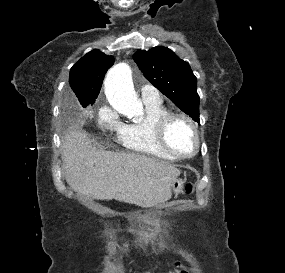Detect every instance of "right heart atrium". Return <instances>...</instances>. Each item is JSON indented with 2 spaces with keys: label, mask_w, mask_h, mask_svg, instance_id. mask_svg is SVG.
I'll return each mask as SVG.
<instances>
[{
  "label": "right heart atrium",
  "mask_w": 285,
  "mask_h": 273,
  "mask_svg": "<svg viewBox=\"0 0 285 273\" xmlns=\"http://www.w3.org/2000/svg\"><path fill=\"white\" fill-rule=\"evenodd\" d=\"M97 122L102 129L117 130L119 127L116 111L107 105L98 110Z\"/></svg>",
  "instance_id": "1"
}]
</instances>
